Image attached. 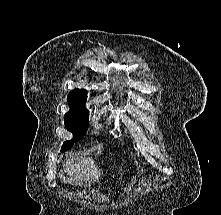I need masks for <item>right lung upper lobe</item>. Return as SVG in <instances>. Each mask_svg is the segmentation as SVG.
<instances>
[{
	"instance_id": "right-lung-upper-lobe-1",
	"label": "right lung upper lobe",
	"mask_w": 221,
	"mask_h": 215,
	"mask_svg": "<svg viewBox=\"0 0 221 215\" xmlns=\"http://www.w3.org/2000/svg\"><path fill=\"white\" fill-rule=\"evenodd\" d=\"M86 98V90L75 89L69 93L67 101L71 109H76L84 106Z\"/></svg>"
}]
</instances>
